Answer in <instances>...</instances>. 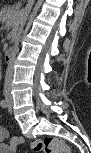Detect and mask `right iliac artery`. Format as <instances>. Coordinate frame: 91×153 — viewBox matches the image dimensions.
<instances>
[{"instance_id": "right-iliac-artery-1", "label": "right iliac artery", "mask_w": 91, "mask_h": 153, "mask_svg": "<svg viewBox=\"0 0 91 153\" xmlns=\"http://www.w3.org/2000/svg\"><path fill=\"white\" fill-rule=\"evenodd\" d=\"M7 105H8L7 100H6V99H2L1 102H0V106H1L2 108H6Z\"/></svg>"}]
</instances>
